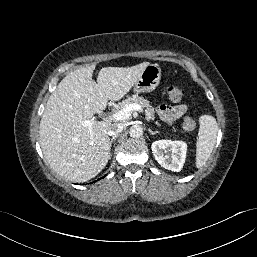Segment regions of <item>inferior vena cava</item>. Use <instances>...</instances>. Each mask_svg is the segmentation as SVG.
<instances>
[{
    "label": "inferior vena cava",
    "instance_id": "1",
    "mask_svg": "<svg viewBox=\"0 0 257 257\" xmlns=\"http://www.w3.org/2000/svg\"><path fill=\"white\" fill-rule=\"evenodd\" d=\"M123 131V125L119 123H114L110 126L108 135L109 136H115L118 135V133Z\"/></svg>",
    "mask_w": 257,
    "mask_h": 257
}]
</instances>
